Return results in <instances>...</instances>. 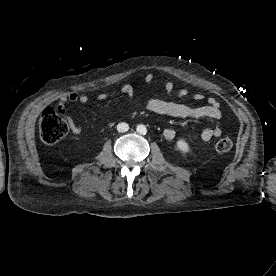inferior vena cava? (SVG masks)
Instances as JSON below:
<instances>
[{
	"mask_svg": "<svg viewBox=\"0 0 276 276\" xmlns=\"http://www.w3.org/2000/svg\"><path fill=\"white\" fill-rule=\"evenodd\" d=\"M129 129V125L125 122L119 123L117 125L118 132H126Z\"/></svg>",
	"mask_w": 276,
	"mask_h": 276,
	"instance_id": "602c4592",
	"label": "inferior vena cava"
}]
</instances>
